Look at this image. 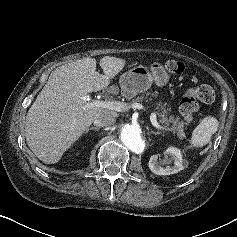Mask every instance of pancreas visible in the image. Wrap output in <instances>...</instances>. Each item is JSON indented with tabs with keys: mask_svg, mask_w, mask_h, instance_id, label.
Returning a JSON list of instances; mask_svg holds the SVG:
<instances>
[{
	"mask_svg": "<svg viewBox=\"0 0 237 237\" xmlns=\"http://www.w3.org/2000/svg\"><path fill=\"white\" fill-rule=\"evenodd\" d=\"M157 96V93L153 94V93H147L146 96ZM145 99V97L143 95L135 98L134 100H132L131 103H137L140 101H143ZM167 103H162L160 102L156 109L158 110V117H159V122L161 124L164 125H169L170 123L173 125V129L179 133L180 137H184L185 133H184V122L180 121V117H175L174 115H170L169 112L171 111L170 108L167 107Z\"/></svg>",
	"mask_w": 237,
	"mask_h": 237,
	"instance_id": "obj_1",
	"label": "pancreas"
}]
</instances>
